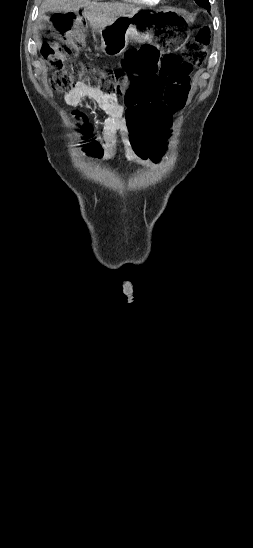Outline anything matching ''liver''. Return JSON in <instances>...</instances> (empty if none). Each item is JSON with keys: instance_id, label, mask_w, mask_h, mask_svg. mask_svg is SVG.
<instances>
[{"instance_id": "1", "label": "liver", "mask_w": 253, "mask_h": 548, "mask_svg": "<svg viewBox=\"0 0 253 548\" xmlns=\"http://www.w3.org/2000/svg\"><path fill=\"white\" fill-rule=\"evenodd\" d=\"M84 8L82 15L93 30L99 31L112 24L117 18L139 10L134 5L119 2H98L91 0H44L39 8V20L46 12H76Z\"/></svg>"}]
</instances>
